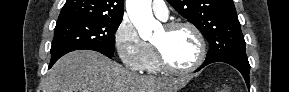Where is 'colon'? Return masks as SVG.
Returning <instances> with one entry per match:
<instances>
[{
	"mask_svg": "<svg viewBox=\"0 0 289 92\" xmlns=\"http://www.w3.org/2000/svg\"><path fill=\"white\" fill-rule=\"evenodd\" d=\"M219 92H229V88L227 85H222L219 89Z\"/></svg>",
	"mask_w": 289,
	"mask_h": 92,
	"instance_id": "colon-1",
	"label": "colon"
}]
</instances>
